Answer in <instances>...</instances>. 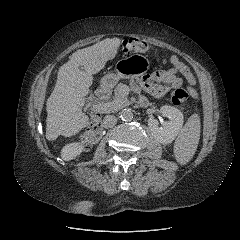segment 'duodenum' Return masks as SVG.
Segmentation results:
<instances>
[{"instance_id":"obj_1","label":"duodenum","mask_w":240,"mask_h":240,"mask_svg":"<svg viewBox=\"0 0 240 240\" xmlns=\"http://www.w3.org/2000/svg\"><path fill=\"white\" fill-rule=\"evenodd\" d=\"M109 88L107 86H102L100 88L97 89L96 91V96L102 100V101H106L109 97Z\"/></svg>"}]
</instances>
